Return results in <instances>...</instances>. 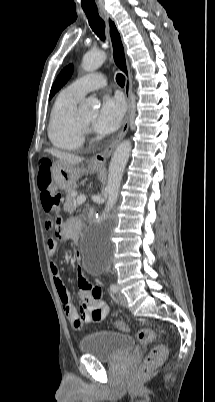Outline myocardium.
Here are the masks:
<instances>
[{
	"instance_id": "obj_1",
	"label": "myocardium",
	"mask_w": 215,
	"mask_h": 402,
	"mask_svg": "<svg viewBox=\"0 0 215 402\" xmlns=\"http://www.w3.org/2000/svg\"><path fill=\"white\" fill-rule=\"evenodd\" d=\"M77 121L83 132H87L89 130V125L85 124L79 115H77Z\"/></svg>"
}]
</instances>
